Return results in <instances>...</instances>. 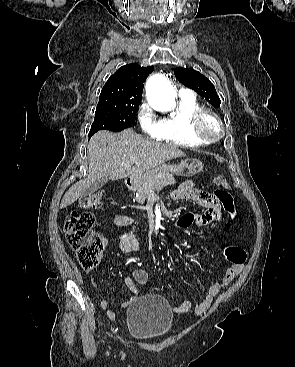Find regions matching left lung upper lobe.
I'll return each instance as SVG.
<instances>
[{"instance_id":"5c2ea615","label":"left lung upper lobe","mask_w":295,"mask_h":367,"mask_svg":"<svg viewBox=\"0 0 295 367\" xmlns=\"http://www.w3.org/2000/svg\"><path fill=\"white\" fill-rule=\"evenodd\" d=\"M176 78L186 87L193 89L200 96L205 98L212 106L219 108L220 98L214 85L200 72L191 68L177 67L175 70Z\"/></svg>"}]
</instances>
